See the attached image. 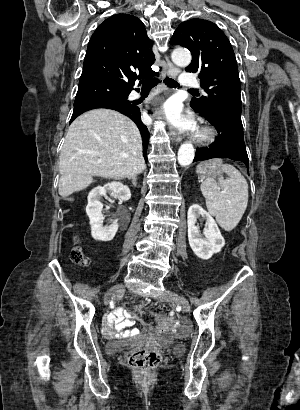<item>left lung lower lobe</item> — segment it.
I'll return each instance as SVG.
<instances>
[{"label":"left lung lower lobe","instance_id":"0a47b994","mask_svg":"<svg viewBox=\"0 0 300 410\" xmlns=\"http://www.w3.org/2000/svg\"><path fill=\"white\" fill-rule=\"evenodd\" d=\"M206 119L216 128L218 136L209 148L196 150L194 161L222 157L242 161L248 167L241 114L218 109Z\"/></svg>","mask_w":300,"mask_h":410}]
</instances>
